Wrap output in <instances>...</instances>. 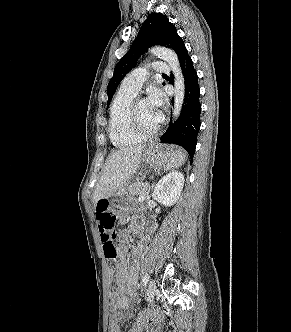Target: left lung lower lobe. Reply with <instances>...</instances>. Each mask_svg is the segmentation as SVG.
Listing matches in <instances>:
<instances>
[{"label":"left lung lower lobe","instance_id":"left-lung-lower-lobe-1","mask_svg":"<svg viewBox=\"0 0 291 332\" xmlns=\"http://www.w3.org/2000/svg\"><path fill=\"white\" fill-rule=\"evenodd\" d=\"M179 62L185 82L184 102L178 120L173 125H169L160 140L182 146L192 161L201 125L200 88L197 73L186 47L179 56ZM170 83L173 84L172 76Z\"/></svg>","mask_w":291,"mask_h":332}]
</instances>
